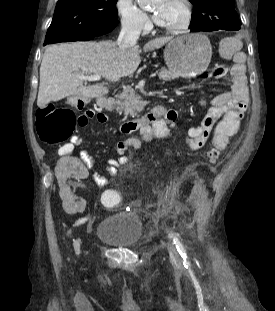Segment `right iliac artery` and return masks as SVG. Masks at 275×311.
<instances>
[{
	"mask_svg": "<svg viewBox=\"0 0 275 311\" xmlns=\"http://www.w3.org/2000/svg\"><path fill=\"white\" fill-rule=\"evenodd\" d=\"M86 220H87L86 218H82L76 222V225L84 223Z\"/></svg>",
	"mask_w": 275,
	"mask_h": 311,
	"instance_id": "1",
	"label": "right iliac artery"
}]
</instances>
